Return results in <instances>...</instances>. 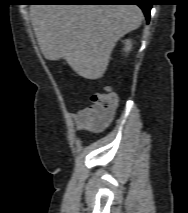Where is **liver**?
<instances>
[{
	"label": "liver",
	"mask_w": 188,
	"mask_h": 213,
	"mask_svg": "<svg viewBox=\"0 0 188 213\" xmlns=\"http://www.w3.org/2000/svg\"><path fill=\"white\" fill-rule=\"evenodd\" d=\"M30 15L43 56L90 80L103 77L117 41L143 20L136 5L35 4Z\"/></svg>",
	"instance_id": "liver-1"
}]
</instances>
